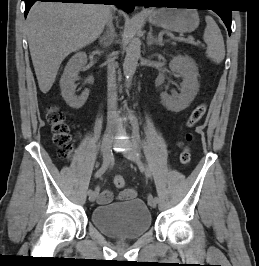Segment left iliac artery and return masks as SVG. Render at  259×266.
I'll use <instances>...</instances> for the list:
<instances>
[{"mask_svg": "<svg viewBox=\"0 0 259 266\" xmlns=\"http://www.w3.org/2000/svg\"><path fill=\"white\" fill-rule=\"evenodd\" d=\"M132 128H133L134 142L136 144L137 151L140 154V147H139V139H140V136H139V125H138L137 119L135 117H132ZM146 176L147 177H150V170H149L148 167L146 168ZM158 202H159V196H155V203H158Z\"/></svg>", "mask_w": 259, "mask_h": 266, "instance_id": "obj_1", "label": "left iliac artery"}]
</instances>
